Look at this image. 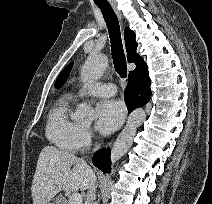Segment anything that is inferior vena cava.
<instances>
[{
	"label": "inferior vena cava",
	"instance_id": "602c4592",
	"mask_svg": "<svg viewBox=\"0 0 212 204\" xmlns=\"http://www.w3.org/2000/svg\"><path fill=\"white\" fill-rule=\"evenodd\" d=\"M97 148H99V145H96L94 150H96ZM95 182H96V177H95L94 173H91L85 204H95L94 203V201L96 199V194H95L96 185H95Z\"/></svg>",
	"mask_w": 212,
	"mask_h": 204
}]
</instances>
